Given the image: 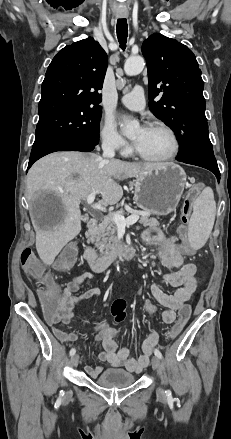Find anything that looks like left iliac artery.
<instances>
[{
    "label": "left iliac artery",
    "instance_id": "1",
    "mask_svg": "<svg viewBox=\"0 0 231 439\" xmlns=\"http://www.w3.org/2000/svg\"><path fill=\"white\" fill-rule=\"evenodd\" d=\"M154 354H155L157 357H159L160 359H162V354H161V352H160L158 349H155V350H154ZM165 393H166V395H167L168 398H172V394H171V391H170V390H166Z\"/></svg>",
    "mask_w": 231,
    "mask_h": 439
}]
</instances>
